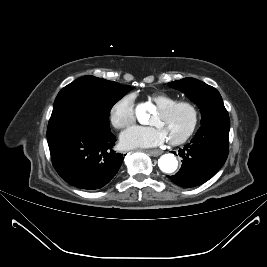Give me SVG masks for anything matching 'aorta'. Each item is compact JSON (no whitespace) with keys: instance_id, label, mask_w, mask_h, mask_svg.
Here are the masks:
<instances>
[{"instance_id":"obj_1","label":"aorta","mask_w":267,"mask_h":267,"mask_svg":"<svg viewBox=\"0 0 267 267\" xmlns=\"http://www.w3.org/2000/svg\"><path fill=\"white\" fill-rule=\"evenodd\" d=\"M136 117L140 123H144L148 114V104L141 103L135 109ZM158 166L164 173H173L178 167V161L173 154H164L158 160Z\"/></svg>"}]
</instances>
